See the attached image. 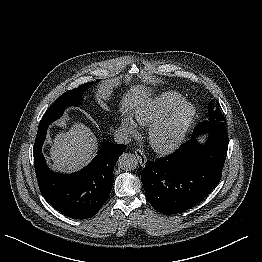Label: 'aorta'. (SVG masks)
Returning a JSON list of instances; mask_svg holds the SVG:
<instances>
[{
	"label": "aorta",
	"instance_id": "762f6f07",
	"mask_svg": "<svg viewBox=\"0 0 262 262\" xmlns=\"http://www.w3.org/2000/svg\"><path fill=\"white\" fill-rule=\"evenodd\" d=\"M138 165L135 155L131 153H124L118 159V166L125 171L134 170Z\"/></svg>",
	"mask_w": 262,
	"mask_h": 262
}]
</instances>
